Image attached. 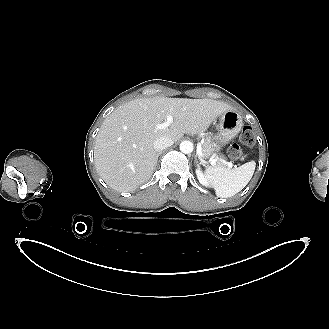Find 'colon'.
<instances>
[{
	"label": "colon",
	"mask_w": 329,
	"mask_h": 329,
	"mask_svg": "<svg viewBox=\"0 0 329 329\" xmlns=\"http://www.w3.org/2000/svg\"><path fill=\"white\" fill-rule=\"evenodd\" d=\"M240 142L244 145L251 146L255 143L254 132L251 127L246 126L242 129L240 134ZM230 156L232 158H239L241 155V150L238 145H232L229 149Z\"/></svg>",
	"instance_id": "5ec220e1"
}]
</instances>
